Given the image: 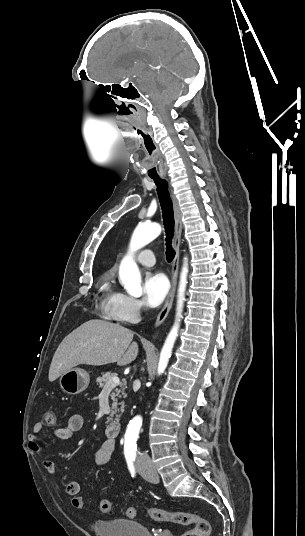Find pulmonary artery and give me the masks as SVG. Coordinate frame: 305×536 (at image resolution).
I'll use <instances>...</instances> for the list:
<instances>
[{"mask_svg": "<svg viewBox=\"0 0 305 536\" xmlns=\"http://www.w3.org/2000/svg\"><path fill=\"white\" fill-rule=\"evenodd\" d=\"M135 261L143 266L151 267L155 264L156 258L150 248H145L135 255Z\"/></svg>", "mask_w": 305, "mask_h": 536, "instance_id": "pulmonary-artery-1", "label": "pulmonary artery"}]
</instances>
